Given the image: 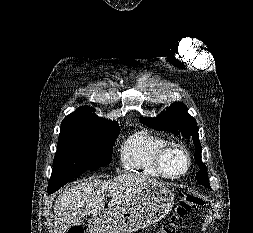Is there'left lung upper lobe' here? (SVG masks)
Instances as JSON below:
<instances>
[{"instance_id":"obj_1","label":"left lung upper lobe","mask_w":253,"mask_h":233,"mask_svg":"<svg viewBox=\"0 0 253 233\" xmlns=\"http://www.w3.org/2000/svg\"><path fill=\"white\" fill-rule=\"evenodd\" d=\"M140 121L159 131H171L184 138L192 137L195 144V160L200 167L195 179L210 188L206 166L201 160V145L199 141L196 120L187 113V107L180 102L171 104L164 114L156 118H140Z\"/></svg>"}]
</instances>
